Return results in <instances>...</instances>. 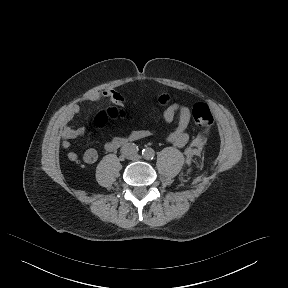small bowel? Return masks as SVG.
Returning a JSON list of instances; mask_svg holds the SVG:
<instances>
[{"mask_svg":"<svg viewBox=\"0 0 288 288\" xmlns=\"http://www.w3.org/2000/svg\"><path fill=\"white\" fill-rule=\"evenodd\" d=\"M115 146H116V142H112V143L106 145V147L109 148V149H112ZM84 158H85V161L87 163H93L97 159V152L95 150H93V149H89L84 154Z\"/></svg>","mask_w":288,"mask_h":288,"instance_id":"1","label":"small bowel"}]
</instances>
